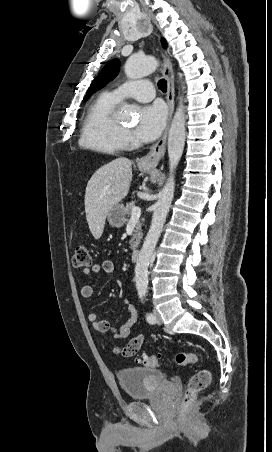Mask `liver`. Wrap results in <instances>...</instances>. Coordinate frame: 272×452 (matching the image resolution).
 <instances>
[{
    "mask_svg": "<svg viewBox=\"0 0 272 452\" xmlns=\"http://www.w3.org/2000/svg\"><path fill=\"white\" fill-rule=\"evenodd\" d=\"M131 181L132 161L125 157L105 164L88 181L85 212L89 229L95 239L102 236L110 209L127 196Z\"/></svg>",
    "mask_w": 272,
    "mask_h": 452,
    "instance_id": "6515ba94",
    "label": "liver"
}]
</instances>
